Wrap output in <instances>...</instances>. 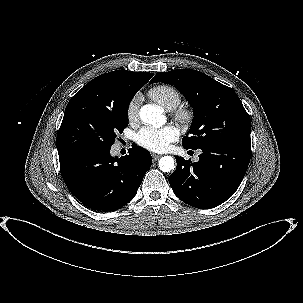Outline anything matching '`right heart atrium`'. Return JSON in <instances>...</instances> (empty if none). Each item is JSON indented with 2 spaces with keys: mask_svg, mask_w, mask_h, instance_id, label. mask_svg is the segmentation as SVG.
I'll use <instances>...</instances> for the list:
<instances>
[{
  "mask_svg": "<svg viewBox=\"0 0 303 303\" xmlns=\"http://www.w3.org/2000/svg\"><path fill=\"white\" fill-rule=\"evenodd\" d=\"M140 100V96L135 95L127 105L126 114L130 122H135L138 119Z\"/></svg>",
  "mask_w": 303,
  "mask_h": 303,
  "instance_id": "d8ad5b80",
  "label": "right heart atrium"
}]
</instances>
